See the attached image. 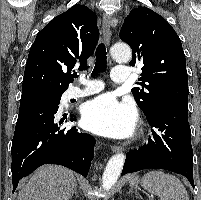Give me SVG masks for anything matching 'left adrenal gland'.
Instances as JSON below:
<instances>
[{"mask_svg": "<svg viewBox=\"0 0 201 200\" xmlns=\"http://www.w3.org/2000/svg\"><path fill=\"white\" fill-rule=\"evenodd\" d=\"M130 193H135V195L138 197V195H139V193L136 191V190H133V187H131L130 189H129V192H128V194H130Z\"/></svg>", "mask_w": 201, "mask_h": 200, "instance_id": "1", "label": "left adrenal gland"}]
</instances>
